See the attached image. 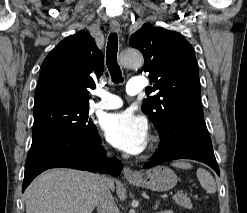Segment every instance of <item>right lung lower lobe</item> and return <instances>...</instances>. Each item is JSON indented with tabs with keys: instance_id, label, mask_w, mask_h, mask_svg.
<instances>
[{
	"instance_id": "1",
	"label": "right lung lower lobe",
	"mask_w": 247,
	"mask_h": 213,
	"mask_svg": "<svg viewBox=\"0 0 247 213\" xmlns=\"http://www.w3.org/2000/svg\"><path fill=\"white\" fill-rule=\"evenodd\" d=\"M101 142L98 133L90 137L78 130L57 131L36 137L26 160L22 192L38 174L50 168L108 172L117 176L122 164L115 158L105 162Z\"/></svg>"
}]
</instances>
